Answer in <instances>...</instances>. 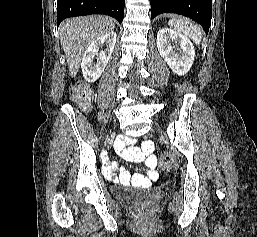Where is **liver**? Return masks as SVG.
<instances>
[{"instance_id":"obj_1","label":"liver","mask_w":257,"mask_h":237,"mask_svg":"<svg viewBox=\"0 0 257 237\" xmlns=\"http://www.w3.org/2000/svg\"><path fill=\"white\" fill-rule=\"evenodd\" d=\"M113 20L104 16H85L65 20L59 29L69 74L75 77L87 47L98 37L113 31Z\"/></svg>"}]
</instances>
